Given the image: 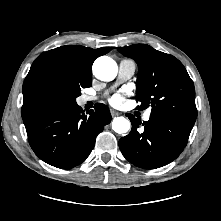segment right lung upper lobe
Returning <instances> with one entry per match:
<instances>
[{"mask_svg": "<svg viewBox=\"0 0 221 221\" xmlns=\"http://www.w3.org/2000/svg\"><path fill=\"white\" fill-rule=\"evenodd\" d=\"M111 49L68 45L38 56L24 80L22 118L60 104L58 90L65 83L71 80L92 82L94 60Z\"/></svg>", "mask_w": 221, "mask_h": 221, "instance_id": "cb5924a9", "label": "right lung upper lobe"}]
</instances>
